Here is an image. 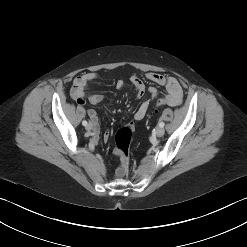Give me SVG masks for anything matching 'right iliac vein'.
I'll return each instance as SVG.
<instances>
[{
	"mask_svg": "<svg viewBox=\"0 0 247 247\" xmlns=\"http://www.w3.org/2000/svg\"><path fill=\"white\" fill-rule=\"evenodd\" d=\"M93 129V124L92 123H88L87 125H86V130L87 131H91Z\"/></svg>",
	"mask_w": 247,
	"mask_h": 247,
	"instance_id": "63e3f726",
	"label": "right iliac vein"
}]
</instances>
